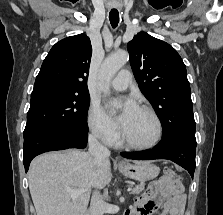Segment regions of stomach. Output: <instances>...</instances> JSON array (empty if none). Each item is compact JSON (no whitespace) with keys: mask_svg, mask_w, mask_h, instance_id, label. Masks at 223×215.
<instances>
[{"mask_svg":"<svg viewBox=\"0 0 223 215\" xmlns=\"http://www.w3.org/2000/svg\"><path fill=\"white\" fill-rule=\"evenodd\" d=\"M119 169L125 177L142 179L143 181L154 179L159 173V167L154 165L152 161H136V163H128L126 161V165H119Z\"/></svg>","mask_w":223,"mask_h":215,"instance_id":"stomach-1","label":"stomach"}]
</instances>
